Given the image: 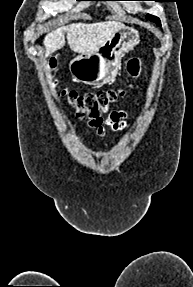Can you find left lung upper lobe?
Wrapping results in <instances>:
<instances>
[{
  "instance_id": "5c2ea615",
  "label": "left lung upper lobe",
  "mask_w": 193,
  "mask_h": 287,
  "mask_svg": "<svg viewBox=\"0 0 193 287\" xmlns=\"http://www.w3.org/2000/svg\"><path fill=\"white\" fill-rule=\"evenodd\" d=\"M146 18L151 20V21H153V22H155V23H157L158 25H161L160 24V19L158 17H156V16H152V15L148 14V15H146Z\"/></svg>"
}]
</instances>
